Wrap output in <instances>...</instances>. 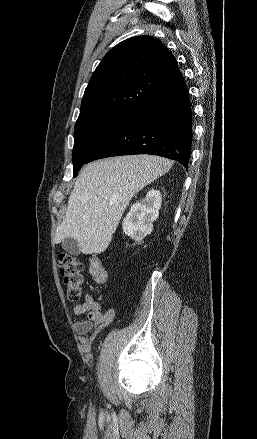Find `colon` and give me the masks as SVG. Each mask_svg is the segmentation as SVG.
<instances>
[{"label":"colon","mask_w":257,"mask_h":439,"mask_svg":"<svg viewBox=\"0 0 257 439\" xmlns=\"http://www.w3.org/2000/svg\"><path fill=\"white\" fill-rule=\"evenodd\" d=\"M57 262L63 279L66 298L71 303L80 301L83 295V264L67 253H60ZM90 272L98 284H107L108 275L98 257H92Z\"/></svg>","instance_id":"1"}]
</instances>
